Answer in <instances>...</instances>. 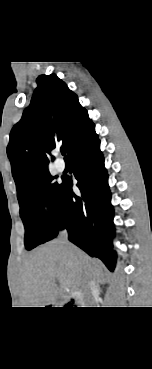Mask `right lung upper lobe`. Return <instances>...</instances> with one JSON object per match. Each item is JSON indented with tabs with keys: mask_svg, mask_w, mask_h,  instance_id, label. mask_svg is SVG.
<instances>
[{
	"mask_svg": "<svg viewBox=\"0 0 152 369\" xmlns=\"http://www.w3.org/2000/svg\"><path fill=\"white\" fill-rule=\"evenodd\" d=\"M37 84L31 104L11 130L7 147L18 199L50 174L48 163L57 145L63 144L69 155L95 128L76 94L55 74L39 76Z\"/></svg>",
	"mask_w": 152,
	"mask_h": 369,
	"instance_id": "obj_1",
	"label": "right lung upper lobe"
}]
</instances>
